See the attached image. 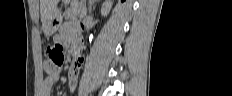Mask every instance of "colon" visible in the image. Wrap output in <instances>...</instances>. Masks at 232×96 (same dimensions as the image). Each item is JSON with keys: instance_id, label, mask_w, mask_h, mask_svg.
<instances>
[{"instance_id": "1", "label": "colon", "mask_w": 232, "mask_h": 96, "mask_svg": "<svg viewBox=\"0 0 232 96\" xmlns=\"http://www.w3.org/2000/svg\"><path fill=\"white\" fill-rule=\"evenodd\" d=\"M48 55L50 58L48 72L51 74L58 73V71L63 67L65 61L63 47L60 45L50 46L48 48Z\"/></svg>"}]
</instances>
